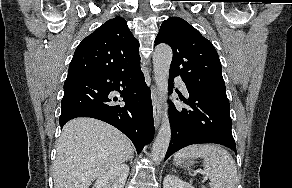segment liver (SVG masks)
Wrapping results in <instances>:
<instances>
[{
	"label": "liver",
	"mask_w": 292,
	"mask_h": 188,
	"mask_svg": "<svg viewBox=\"0 0 292 188\" xmlns=\"http://www.w3.org/2000/svg\"><path fill=\"white\" fill-rule=\"evenodd\" d=\"M133 154L130 140L93 118L66 123L53 165L54 188H89L92 182Z\"/></svg>",
	"instance_id": "liver-1"
}]
</instances>
